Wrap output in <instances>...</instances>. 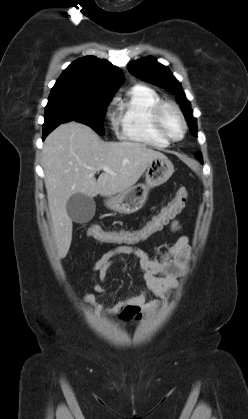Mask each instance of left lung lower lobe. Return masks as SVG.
Listing matches in <instances>:
<instances>
[{"instance_id": "1", "label": "left lung lower lobe", "mask_w": 248, "mask_h": 419, "mask_svg": "<svg viewBox=\"0 0 248 419\" xmlns=\"http://www.w3.org/2000/svg\"><path fill=\"white\" fill-rule=\"evenodd\" d=\"M196 157L202 163V156H201V154H198Z\"/></svg>"}]
</instances>
